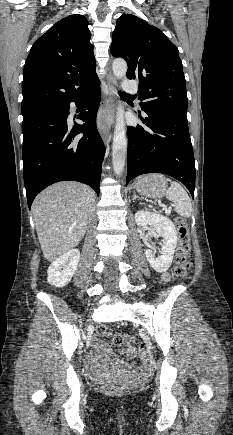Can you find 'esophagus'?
<instances>
[{"instance_id": "1", "label": "esophagus", "mask_w": 233, "mask_h": 435, "mask_svg": "<svg viewBox=\"0 0 233 435\" xmlns=\"http://www.w3.org/2000/svg\"><path fill=\"white\" fill-rule=\"evenodd\" d=\"M106 82L108 94L105 95V102L101 106L97 115L98 130L104 141L107 140L108 136L111 133L110 109L114 104L116 79L112 75H108Z\"/></svg>"}]
</instances>
